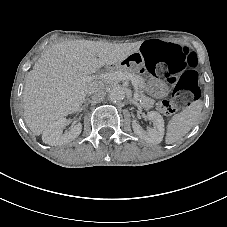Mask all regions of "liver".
I'll use <instances>...</instances> for the list:
<instances>
[{"label": "liver", "mask_w": 227, "mask_h": 227, "mask_svg": "<svg viewBox=\"0 0 227 227\" xmlns=\"http://www.w3.org/2000/svg\"><path fill=\"white\" fill-rule=\"evenodd\" d=\"M140 43L113 44L72 40L48 46L26 75L23 91L24 120L39 136L59 118L77 112L86 89L102 80L92 76L103 66L117 65L138 52Z\"/></svg>", "instance_id": "obj_1"}]
</instances>
